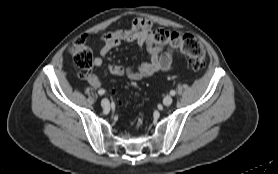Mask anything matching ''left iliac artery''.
<instances>
[{"label":"left iliac artery","instance_id":"1","mask_svg":"<svg viewBox=\"0 0 278 174\" xmlns=\"http://www.w3.org/2000/svg\"><path fill=\"white\" fill-rule=\"evenodd\" d=\"M176 92L174 90L170 91V95L175 96Z\"/></svg>","mask_w":278,"mask_h":174}]
</instances>
